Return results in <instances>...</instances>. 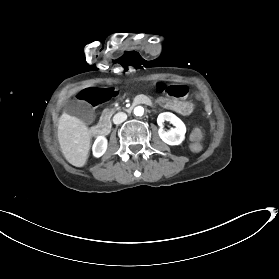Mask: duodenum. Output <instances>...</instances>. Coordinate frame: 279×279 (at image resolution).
<instances>
[{
  "instance_id": "duodenum-1",
  "label": "duodenum",
  "mask_w": 279,
  "mask_h": 279,
  "mask_svg": "<svg viewBox=\"0 0 279 279\" xmlns=\"http://www.w3.org/2000/svg\"><path fill=\"white\" fill-rule=\"evenodd\" d=\"M139 102H144L148 105H153V100L151 98H145V95H140L139 97H137V99L134 100V102H130L128 108L126 109V112L128 114H131L134 111L135 105H139ZM110 131L111 120H106V127L104 131L100 128H91V133L94 136L98 135V138H104V136H108Z\"/></svg>"
}]
</instances>
